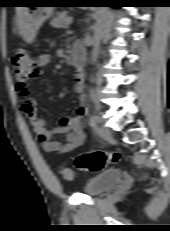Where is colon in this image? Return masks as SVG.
I'll return each instance as SVG.
<instances>
[{"instance_id": "obj_1", "label": "colon", "mask_w": 170, "mask_h": 231, "mask_svg": "<svg viewBox=\"0 0 170 231\" xmlns=\"http://www.w3.org/2000/svg\"><path fill=\"white\" fill-rule=\"evenodd\" d=\"M12 66L17 83H26L37 74L36 61H34L22 47L14 52L12 56ZM120 159L121 155L119 152L93 151L77 155L74 164L76 168L80 170L97 172L111 164L119 162ZM58 174L68 182L75 179L74 171L66 166H60L58 168Z\"/></svg>"}]
</instances>
